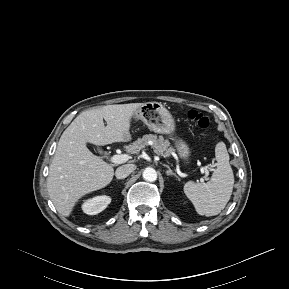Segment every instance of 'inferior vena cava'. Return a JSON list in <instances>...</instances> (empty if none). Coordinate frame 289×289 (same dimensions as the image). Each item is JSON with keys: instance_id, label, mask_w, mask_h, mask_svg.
Wrapping results in <instances>:
<instances>
[{"instance_id": "602c4592", "label": "inferior vena cava", "mask_w": 289, "mask_h": 289, "mask_svg": "<svg viewBox=\"0 0 289 289\" xmlns=\"http://www.w3.org/2000/svg\"><path fill=\"white\" fill-rule=\"evenodd\" d=\"M135 169L136 166L133 164L122 165L116 169L115 176L117 179H124L129 176Z\"/></svg>"}]
</instances>
